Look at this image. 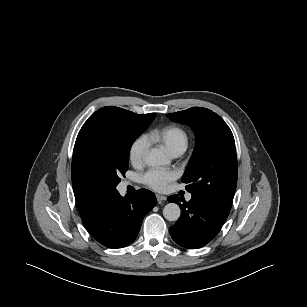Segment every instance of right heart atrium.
<instances>
[{
  "label": "right heart atrium",
  "mask_w": 307,
  "mask_h": 307,
  "mask_svg": "<svg viewBox=\"0 0 307 307\" xmlns=\"http://www.w3.org/2000/svg\"><path fill=\"white\" fill-rule=\"evenodd\" d=\"M148 147L149 141L147 137L141 136L135 139L129 148V160L131 163H142L147 153Z\"/></svg>",
  "instance_id": "right-heart-atrium-1"
}]
</instances>
